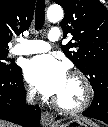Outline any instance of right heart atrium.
Returning a JSON list of instances; mask_svg holds the SVG:
<instances>
[{
    "label": "right heart atrium",
    "mask_w": 108,
    "mask_h": 127,
    "mask_svg": "<svg viewBox=\"0 0 108 127\" xmlns=\"http://www.w3.org/2000/svg\"><path fill=\"white\" fill-rule=\"evenodd\" d=\"M27 93H28V96L31 98H33L36 95V91L33 87H29Z\"/></svg>",
    "instance_id": "d8ad5b80"
}]
</instances>
